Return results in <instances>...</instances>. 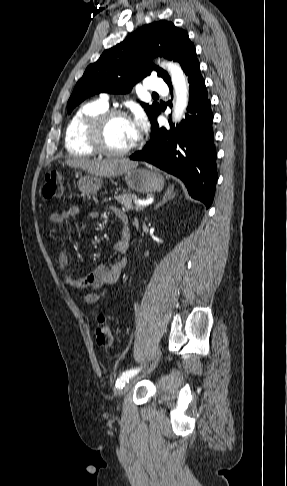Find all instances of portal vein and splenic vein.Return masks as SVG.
Listing matches in <instances>:
<instances>
[{
  "mask_svg": "<svg viewBox=\"0 0 287 486\" xmlns=\"http://www.w3.org/2000/svg\"><path fill=\"white\" fill-rule=\"evenodd\" d=\"M135 204H137L138 206L143 207V208H144L145 206L149 205V203H148V202H146V201H142V200H135Z\"/></svg>",
  "mask_w": 287,
  "mask_h": 486,
  "instance_id": "obj_1",
  "label": "portal vein and splenic vein"
}]
</instances>
